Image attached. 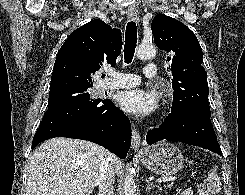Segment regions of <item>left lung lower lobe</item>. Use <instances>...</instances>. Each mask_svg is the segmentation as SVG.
Listing matches in <instances>:
<instances>
[{"instance_id": "obj_1", "label": "left lung lower lobe", "mask_w": 245, "mask_h": 195, "mask_svg": "<svg viewBox=\"0 0 245 195\" xmlns=\"http://www.w3.org/2000/svg\"><path fill=\"white\" fill-rule=\"evenodd\" d=\"M211 113L197 108L171 111L164 123L146 135L148 144L160 141L183 142L222 155L213 126Z\"/></svg>"}]
</instances>
